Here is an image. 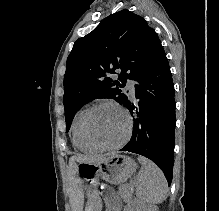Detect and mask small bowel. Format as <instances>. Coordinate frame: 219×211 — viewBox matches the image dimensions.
<instances>
[{
    "label": "small bowel",
    "instance_id": "1",
    "mask_svg": "<svg viewBox=\"0 0 219 211\" xmlns=\"http://www.w3.org/2000/svg\"><path fill=\"white\" fill-rule=\"evenodd\" d=\"M104 200L106 204V211H120V200L112 190L108 189L105 191Z\"/></svg>",
    "mask_w": 219,
    "mask_h": 211
}]
</instances>
